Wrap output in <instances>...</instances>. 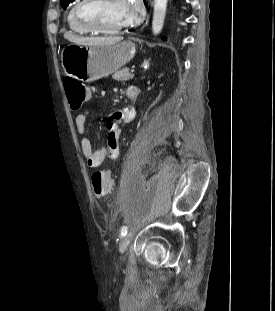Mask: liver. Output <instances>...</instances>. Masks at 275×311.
Here are the masks:
<instances>
[{"mask_svg":"<svg viewBox=\"0 0 275 311\" xmlns=\"http://www.w3.org/2000/svg\"><path fill=\"white\" fill-rule=\"evenodd\" d=\"M64 38L75 44L87 46H110L122 41V37H78L76 35L64 34Z\"/></svg>","mask_w":275,"mask_h":311,"instance_id":"obj_1","label":"liver"}]
</instances>
